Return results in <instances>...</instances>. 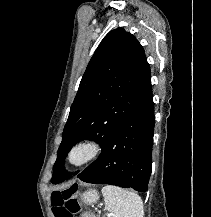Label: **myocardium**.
<instances>
[{"instance_id": "1", "label": "myocardium", "mask_w": 211, "mask_h": 217, "mask_svg": "<svg viewBox=\"0 0 211 217\" xmlns=\"http://www.w3.org/2000/svg\"><path fill=\"white\" fill-rule=\"evenodd\" d=\"M77 150H83L85 155L80 161L75 162L73 160V155ZM102 151L103 146L97 139L84 138L78 140L71 146L67 155V160L73 167H83L95 161L101 155Z\"/></svg>"}]
</instances>
